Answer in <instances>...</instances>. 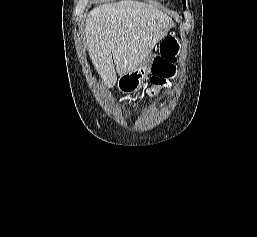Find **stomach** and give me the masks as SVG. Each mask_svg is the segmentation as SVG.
I'll list each match as a JSON object with an SVG mask.
<instances>
[{"label": "stomach", "instance_id": "stomach-1", "mask_svg": "<svg viewBox=\"0 0 257 237\" xmlns=\"http://www.w3.org/2000/svg\"><path fill=\"white\" fill-rule=\"evenodd\" d=\"M154 56L155 55L150 52L137 69L120 76L117 86L122 93H135L142 86L149 74Z\"/></svg>", "mask_w": 257, "mask_h": 237}]
</instances>
